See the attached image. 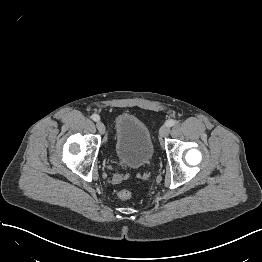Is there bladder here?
I'll return each mask as SVG.
<instances>
[{"instance_id":"bladder-1","label":"bladder","mask_w":262,"mask_h":262,"mask_svg":"<svg viewBox=\"0 0 262 262\" xmlns=\"http://www.w3.org/2000/svg\"><path fill=\"white\" fill-rule=\"evenodd\" d=\"M154 152L151 133L143 121L133 115H121L116 120L115 153L123 164L140 168Z\"/></svg>"}]
</instances>
